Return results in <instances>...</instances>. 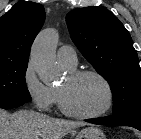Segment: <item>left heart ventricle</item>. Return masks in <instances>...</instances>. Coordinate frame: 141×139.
I'll use <instances>...</instances> for the list:
<instances>
[{"label": "left heart ventricle", "instance_id": "b2bd125f", "mask_svg": "<svg viewBox=\"0 0 141 139\" xmlns=\"http://www.w3.org/2000/svg\"><path fill=\"white\" fill-rule=\"evenodd\" d=\"M59 88L65 91L70 107L80 113L99 112L107 101L104 85L93 76H85L74 81H71L67 76Z\"/></svg>", "mask_w": 141, "mask_h": 139}]
</instances>
